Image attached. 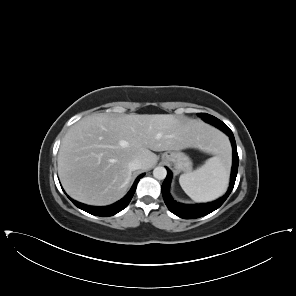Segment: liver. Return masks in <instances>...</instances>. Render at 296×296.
<instances>
[{
  "instance_id": "obj_1",
  "label": "liver",
  "mask_w": 296,
  "mask_h": 296,
  "mask_svg": "<svg viewBox=\"0 0 296 296\" xmlns=\"http://www.w3.org/2000/svg\"><path fill=\"white\" fill-rule=\"evenodd\" d=\"M222 136L203 121L172 114L91 115L70 127L58 153V175L66 193L94 206L118 201L132 179L129 163L152 168V151L198 148L214 153ZM152 150V151H151Z\"/></svg>"
}]
</instances>
